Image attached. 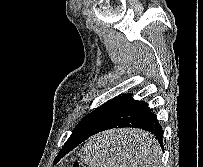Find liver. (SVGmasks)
Segmentation results:
<instances>
[{
  "label": "liver",
  "mask_w": 203,
  "mask_h": 167,
  "mask_svg": "<svg viewBox=\"0 0 203 167\" xmlns=\"http://www.w3.org/2000/svg\"><path fill=\"white\" fill-rule=\"evenodd\" d=\"M143 133L138 130H115L109 133H103L102 137L104 135H107L109 137H114V143L116 144L115 150L118 153V157L120 160L126 161L127 167H132L133 164L134 167L143 166L144 164L139 161L141 160L139 158V153L133 148V146L125 147L122 145H126L128 143L134 145L137 143L138 136Z\"/></svg>",
  "instance_id": "obj_1"
}]
</instances>
